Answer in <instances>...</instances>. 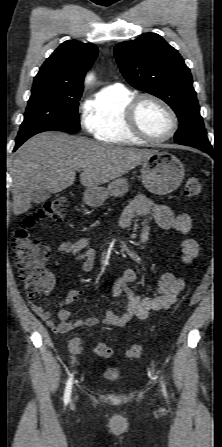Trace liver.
I'll return each instance as SVG.
<instances>
[{
	"instance_id": "liver-1",
	"label": "liver",
	"mask_w": 222,
	"mask_h": 447,
	"mask_svg": "<svg viewBox=\"0 0 222 447\" xmlns=\"http://www.w3.org/2000/svg\"><path fill=\"white\" fill-rule=\"evenodd\" d=\"M155 150L97 143L61 132H44L25 142L13 162V212L18 216L31 208L34 191L43 187L58 193L75 182L98 187L141 164Z\"/></svg>"
}]
</instances>
